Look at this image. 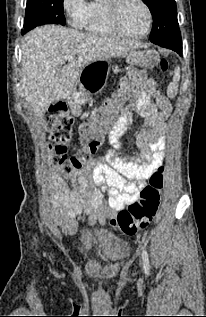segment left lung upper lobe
<instances>
[{
  "label": "left lung upper lobe",
  "instance_id": "left-lung-upper-lobe-1",
  "mask_svg": "<svg viewBox=\"0 0 206 317\" xmlns=\"http://www.w3.org/2000/svg\"><path fill=\"white\" fill-rule=\"evenodd\" d=\"M153 16V28L149 37L155 44L182 43L175 0H143Z\"/></svg>",
  "mask_w": 206,
  "mask_h": 317
}]
</instances>
